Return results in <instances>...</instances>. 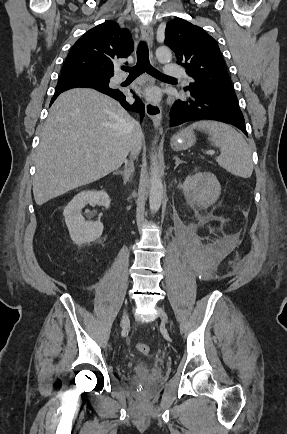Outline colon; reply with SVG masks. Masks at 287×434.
Wrapping results in <instances>:
<instances>
[{"mask_svg":"<svg viewBox=\"0 0 287 434\" xmlns=\"http://www.w3.org/2000/svg\"><path fill=\"white\" fill-rule=\"evenodd\" d=\"M136 349L144 355H147L150 351V348H149L148 344H146V343H137Z\"/></svg>","mask_w":287,"mask_h":434,"instance_id":"5ec220e1","label":"colon"}]
</instances>
